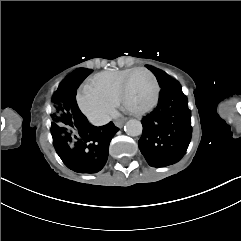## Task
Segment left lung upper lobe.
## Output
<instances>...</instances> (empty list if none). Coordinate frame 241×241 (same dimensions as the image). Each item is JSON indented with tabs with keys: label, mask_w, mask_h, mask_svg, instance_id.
Returning a JSON list of instances; mask_svg holds the SVG:
<instances>
[{
	"label": "left lung upper lobe",
	"mask_w": 241,
	"mask_h": 241,
	"mask_svg": "<svg viewBox=\"0 0 241 241\" xmlns=\"http://www.w3.org/2000/svg\"><path fill=\"white\" fill-rule=\"evenodd\" d=\"M147 68L154 73V75L157 77L159 85L162 88L171 84V83L177 82L171 76H169L168 74H166L165 72H163L159 69H156V68L151 67V66H147Z\"/></svg>",
	"instance_id": "1"
}]
</instances>
